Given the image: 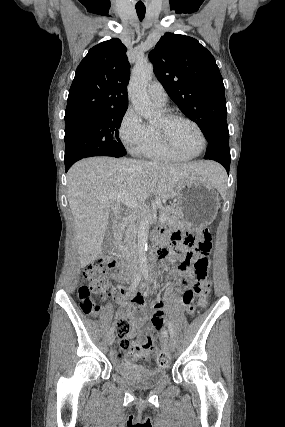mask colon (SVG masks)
I'll return each instance as SVG.
<instances>
[{"mask_svg": "<svg viewBox=\"0 0 285 427\" xmlns=\"http://www.w3.org/2000/svg\"><path fill=\"white\" fill-rule=\"evenodd\" d=\"M183 246L201 254H208L211 249L210 236L206 234L187 235L183 240ZM190 267L195 271V275L188 274L181 281L185 290L183 301L187 305L204 308L211 286L210 282L205 279L206 262L195 260L192 264L188 262L181 264L182 271H188ZM119 270V263L112 257L98 258L83 269L78 295L80 308L86 315L96 316L100 312V306L96 302L95 296L99 295L102 299L110 297V275L116 274ZM131 304L134 302L132 301ZM114 330L118 337L117 349L120 353L132 358L144 350V345L135 343L129 337L130 327L126 320H117ZM156 359L160 366H166L169 362V355L167 352L161 351Z\"/></svg>", "mask_w": 285, "mask_h": 427, "instance_id": "obj_1", "label": "colon"}]
</instances>
